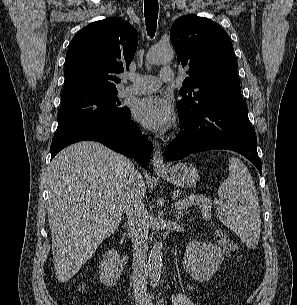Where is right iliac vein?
Here are the masks:
<instances>
[{"label": "right iliac vein", "mask_w": 297, "mask_h": 305, "mask_svg": "<svg viewBox=\"0 0 297 305\" xmlns=\"http://www.w3.org/2000/svg\"><path fill=\"white\" fill-rule=\"evenodd\" d=\"M137 305H145V304H143V303H138Z\"/></svg>", "instance_id": "63e3f726"}]
</instances>
